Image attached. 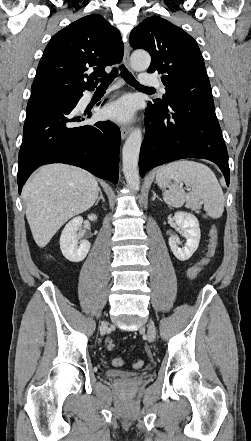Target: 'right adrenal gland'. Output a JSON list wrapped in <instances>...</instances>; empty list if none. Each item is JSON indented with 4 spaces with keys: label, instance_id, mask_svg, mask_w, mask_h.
<instances>
[{
    "label": "right adrenal gland",
    "instance_id": "2a0ac1e0",
    "mask_svg": "<svg viewBox=\"0 0 251 441\" xmlns=\"http://www.w3.org/2000/svg\"><path fill=\"white\" fill-rule=\"evenodd\" d=\"M100 200H102L103 202H105V199H104V197H103V194H102L101 189L99 190V197L97 198L95 205H97V204L99 203Z\"/></svg>",
    "mask_w": 251,
    "mask_h": 441
}]
</instances>
